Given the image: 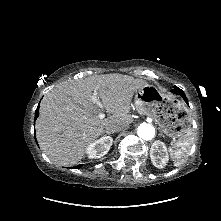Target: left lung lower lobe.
I'll return each mask as SVG.
<instances>
[{
	"label": "left lung lower lobe",
	"mask_w": 221,
	"mask_h": 221,
	"mask_svg": "<svg viewBox=\"0 0 221 221\" xmlns=\"http://www.w3.org/2000/svg\"><path fill=\"white\" fill-rule=\"evenodd\" d=\"M171 91L175 94L181 95L184 98V100L186 101V103H188V100H187L184 92L180 88H178L177 86H174V89Z\"/></svg>",
	"instance_id": "left-lung-lower-lobe-1"
}]
</instances>
